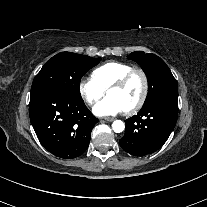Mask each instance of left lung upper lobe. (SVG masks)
I'll return each instance as SVG.
<instances>
[{"instance_id": "1", "label": "left lung upper lobe", "mask_w": 207, "mask_h": 207, "mask_svg": "<svg viewBox=\"0 0 207 207\" xmlns=\"http://www.w3.org/2000/svg\"><path fill=\"white\" fill-rule=\"evenodd\" d=\"M127 57L141 65L148 79L149 90L143 107L159 96L178 94L177 81L160 57L142 51L132 52Z\"/></svg>"}]
</instances>
